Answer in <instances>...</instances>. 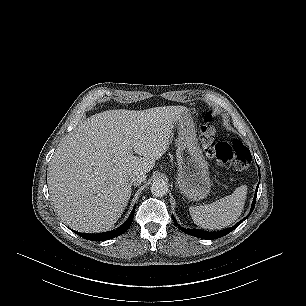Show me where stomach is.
I'll list each match as a JSON object with an SVG mask.
<instances>
[{
    "label": "stomach",
    "mask_w": 306,
    "mask_h": 306,
    "mask_svg": "<svg viewBox=\"0 0 306 306\" xmlns=\"http://www.w3.org/2000/svg\"><path fill=\"white\" fill-rule=\"evenodd\" d=\"M176 123L178 130L176 184L181 194L189 200L199 201L208 195L211 188L207 162L200 149L189 111L183 113Z\"/></svg>",
    "instance_id": "1"
}]
</instances>
